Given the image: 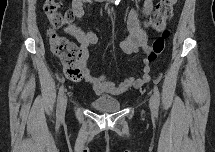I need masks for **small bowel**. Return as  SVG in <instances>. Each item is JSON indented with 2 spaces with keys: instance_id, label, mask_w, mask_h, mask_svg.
<instances>
[{
  "instance_id": "c3829d8e",
  "label": "small bowel",
  "mask_w": 215,
  "mask_h": 152,
  "mask_svg": "<svg viewBox=\"0 0 215 152\" xmlns=\"http://www.w3.org/2000/svg\"><path fill=\"white\" fill-rule=\"evenodd\" d=\"M91 2L89 0H73L72 11L77 18H82L85 13V7ZM154 8V0H144L142 4V11L144 15L149 16ZM127 29L129 34L120 42V49L124 56L133 53L150 51L149 37L142 29L139 19L138 11L132 8L127 15ZM65 31L73 36L80 44V49L83 52V75L81 79L92 84L93 89L97 95H121L130 88H141L149 81V69L143 73L141 78L133 76L126 77L121 81L115 82L108 74H103L99 77H94L86 67V61L89 53L88 49L97 45L99 42L98 36L93 31H84L77 24H70L65 27ZM78 81V80H77Z\"/></svg>"
}]
</instances>
